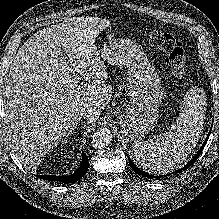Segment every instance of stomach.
Returning a JSON list of instances; mask_svg holds the SVG:
<instances>
[{
	"label": "stomach",
	"instance_id": "0dacf381",
	"mask_svg": "<svg viewBox=\"0 0 219 219\" xmlns=\"http://www.w3.org/2000/svg\"><path fill=\"white\" fill-rule=\"evenodd\" d=\"M100 56L108 64L126 69L129 102L119 116L121 133L130 140L147 135L155 127L164 93L159 74L142 47L131 39L109 40L101 48Z\"/></svg>",
	"mask_w": 219,
	"mask_h": 219
}]
</instances>
